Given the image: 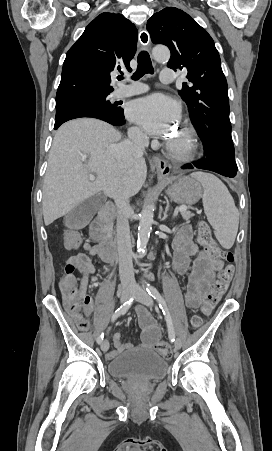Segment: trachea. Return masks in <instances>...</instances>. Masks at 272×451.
<instances>
[{"label":"trachea","mask_w":272,"mask_h":451,"mask_svg":"<svg viewBox=\"0 0 272 451\" xmlns=\"http://www.w3.org/2000/svg\"><path fill=\"white\" fill-rule=\"evenodd\" d=\"M145 73H153V67L148 52L142 51L138 55V67L132 78L138 80ZM118 79L122 80L123 76L119 75Z\"/></svg>","instance_id":"3493384b"}]
</instances>
